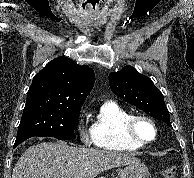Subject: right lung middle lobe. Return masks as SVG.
Wrapping results in <instances>:
<instances>
[{
	"label": "right lung middle lobe",
	"mask_w": 194,
	"mask_h": 178,
	"mask_svg": "<svg viewBox=\"0 0 194 178\" xmlns=\"http://www.w3.org/2000/svg\"><path fill=\"white\" fill-rule=\"evenodd\" d=\"M80 109L71 108L61 103L33 99L26 101L16 139L50 136L61 140H73L74 123Z\"/></svg>",
	"instance_id": "obj_1"
}]
</instances>
